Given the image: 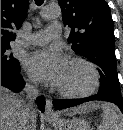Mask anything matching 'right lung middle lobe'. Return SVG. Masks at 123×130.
Wrapping results in <instances>:
<instances>
[{
	"instance_id": "obj_1",
	"label": "right lung middle lobe",
	"mask_w": 123,
	"mask_h": 130,
	"mask_svg": "<svg viewBox=\"0 0 123 130\" xmlns=\"http://www.w3.org/2000/svg\"><path fill=\"white\" fill-rule=\"evenodd\" d=\"M10 45H1V67H6L13 71H20V64L13 54L9 52Z\"/></svg>"
}]
</instances>
